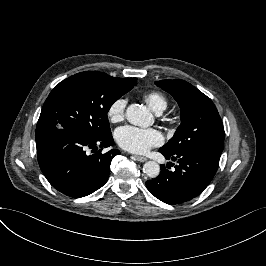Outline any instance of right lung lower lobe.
Instances as JSON below:
<instances>
[{
  "mask_svg": "<svg viewBox=\"0 0 266 266\" xmlns=\"http://www.w3.org/2000/svg\"><path fill=\"white\" fill-rule=\"evenodd\" d=\"M114 143L112 134L90 138L67 130H57L36 141L41 171L61 193L80 198L101 188L108 180L110 164L120 154L112 149L102 154L98 147ZM88 148L95 154L88 155Z\"/></svg>",
  "mask_w": 266,
  "mask_h": 266,
  "instance_id": "1",
  "label": "right lung lower lobe"
}]
</instances>
